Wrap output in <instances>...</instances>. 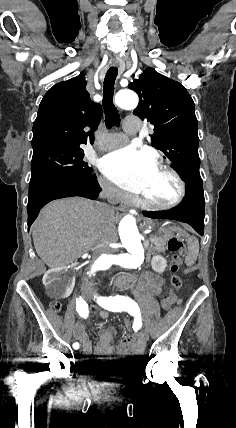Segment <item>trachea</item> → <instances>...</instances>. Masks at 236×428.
<instances>
[{
  "mask_svg": "<svg viewBox=\"0 0 236 428\" xmlns=\"http://www.w3.org/2000/svg\"><path fill=\"white\" fill-rule=\"evenodd\" d=\"M117 75L118 69L111 66L104 80L102 106L105 113V124L108 128H111L113 125L119 126L120 124L118 110L113 104L114 83Z\"/></svg>",
  "mask_w": 236,
  "mask_h": 428,
  "instance_id": "3493384b",
  "label": "trachea"
}]
</instances>
